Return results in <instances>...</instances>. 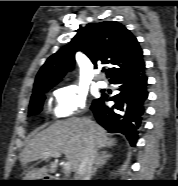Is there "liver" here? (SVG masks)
<instances>
[{
  "label": "liver",
  "mask_w": 178,
  "mask_h": 186,
  "mask_svg": "<svg viewBox=\"0 0 178 186\" xmlns=\"http://www.w3.org/2000/svg\"><path fill=\"white\" fill-rule=\"evenodd\" d=\"M89 134L96 149L111 147L116 142L115 139H109L106 131L97 123L77 117L56 121L38 133L27 143L20 156L25 171L24 180H40L56 171L58 166L56 160L42 168L28 167L30 163L39 159L48 160L49 157L45 155L49 152L64 153L73 171L76 172Z\"/></svg>",
  "instance_id": "1"
}]
</instances>
